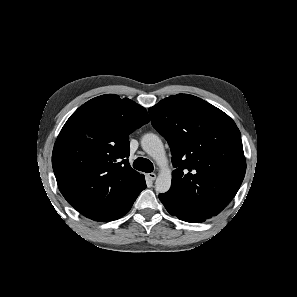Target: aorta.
Segmentation results:
<instances>
[{
	"label": "aorta",
	"instance_id": "aorta-1",
	"mask_svg": "<svg viewBox=\"0 0 297 297\" xmlns=\"http://www.w3.org/2000/svg\"><path fill=\"white\" fill-rule=\"evenodd\" d=\"M141 147L162 167L155 182L156 192H167L171 187L172 174L171 171L164 166L167 160L161 139L153 133H147L141 138Z\"/></svg>",
	"mask_w": 297,
	"mask_h": 297
}]
</instances>
